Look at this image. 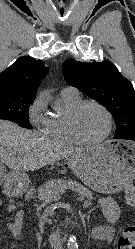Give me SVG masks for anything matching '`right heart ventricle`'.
<instances>
[{
    "mask_svg": "<svg viewBox=\"0 0 135 249\" xmlns=\"http://www.w3.org/2000/svg\"><path fill=\"white\" fill-rule=\"evenodd\" d=\"M82 102L79 95L60 94L57 105L59 111L48 119L45 134L54 141L65 145L78 143L72 136L69 128V116L71 112Z\"/></svg>",
    "mask_w": 135,
    "mask_h": 249,
    "instance_id": "right-heart-ventricle-1",
    "label": "right heart ventricle"
}]
</instances>
